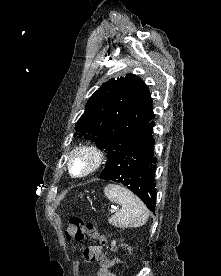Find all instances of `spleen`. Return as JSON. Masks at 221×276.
<instances>
[{
	"label": "spleen",
	"instance_id": "spleen-1",
	"mask_svg": "<svg viewBox=\"0 0 221 276\" xmlns=\"http://www.w3.org/2000/svg\"><path fill=\"white\" fill-rule=\"evenodd\" d=\"M104 194L112 201L122 205L111 218L109 223L118 228H135L144 225L149 217L145 204L130 190L120 185L108 184Z\"/></svg>",
	"mask_w": 221,
	"mask_h": 276
}]
</instances>
